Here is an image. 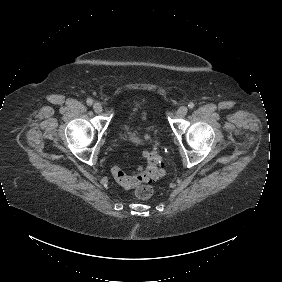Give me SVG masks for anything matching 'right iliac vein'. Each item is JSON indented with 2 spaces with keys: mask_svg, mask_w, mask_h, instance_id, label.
Segmentation results:
<instances>
[{
  "mask_svg": "<svg viewBox=\"0 0 282 282\" xmlns=\"http://www.w3.org/2000/svg\"><path fill=\"white\" fill-rule=\"evenodd\" d=\"M93 109L96 113H100L102 111V106L100 103L96 102L93 104Z\"/></svg>",
  "mask_w": 282,
  "mask_h": 282,
  "instance_id": "63e3f726",
  "label": "right iliac vein"
}]
</instances>
